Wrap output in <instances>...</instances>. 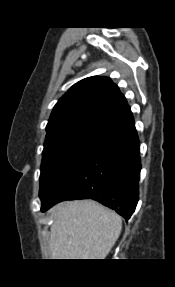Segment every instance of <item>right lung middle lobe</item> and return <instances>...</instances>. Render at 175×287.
Segmentation results:
<instances>
[{
	"mask_svg": "<svg viewBox=\"0 0 175 287\" xmlns=\"http://www.w3.org/2000/svg\"><path fill=\"white\" fill-rule=\"evenodd\" d=\"M115 126L84 123L61 127L47 132L40 174V197L96 143Z\"/></svg>",
	"mask_w": 175,
	"mask_h": 287,
	"instance_id": "dd1d6c3e",
	"label": "right lung middle lobe"
}]
</instances>
